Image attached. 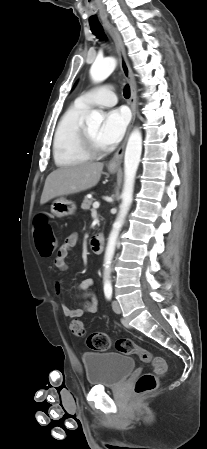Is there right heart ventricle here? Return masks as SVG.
<instances>
[{
    "mask_svg": "<svg viewBox=\"0 0 207 449\" xmlns=\"http://www.w3.org/2000/svg\"><path fill=\"white\" fill-rule=\"evenodd\" d=\"M88 108L75 103L60 118L53 138V157L57 166H73L90 159L79 146V130Z\"/></svg>",
    "mask_w": 207,
    "mask_h": 449,
    "instance_id": "obj_1",
    "label": "right heart ventricle"
}]
</instances>
